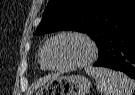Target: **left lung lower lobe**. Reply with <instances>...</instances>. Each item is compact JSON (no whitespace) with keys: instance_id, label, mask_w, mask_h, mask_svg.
I'll return each instance as SVG.
<instances>
[{"instance_id":"0a47b994","label":"left lung lower lobe","mask_w":135,"mask_h":95,"mask_svg":"<svg viewBox=\"0 0 135 95\" xmlns=\"http://www.w3.org/2000/svg\"><path fill=\"white\" fill-rule=\"evenodd\" d=\"M94 66L121 71L135 79V18L103 41Z\"/></svg>"}]
</instances>
